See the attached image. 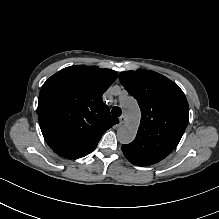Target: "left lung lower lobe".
<instances>
[{"label":"left lung lower lobe","instance_id":"1","mask_svg":"<svg viewBox=\"0 0 219 219\" xmlns=\"http://www.w3.org/2000/svg\"><path fill=\"white\" fill-rule=\"evenodd\" d=\"M123 154L125 155V157L134 165L137 166H148L151 165L145 161L140 160L139 158H137L136 156H134L133 154H131L130 152H128L126 149L122 148Z\"/></svg>","mask_w":219,"mask_h":219}]
</instances>
